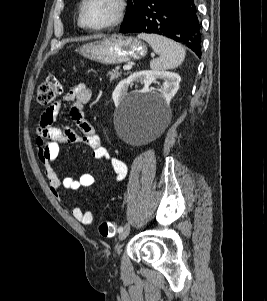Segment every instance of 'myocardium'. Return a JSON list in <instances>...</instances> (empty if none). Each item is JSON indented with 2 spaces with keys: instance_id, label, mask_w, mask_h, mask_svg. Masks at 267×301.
I'll return each mask as SVG.
<instances>
[{
  "instance_id": "1",
  "label": "myocardium",
  "mask_w": 267,
  "mask_h": 301,
  "mask_svg": "<svg viewBox=\"0 0 267 301\" xmlns=\"http://www.w3.org/2000/svg\"><path fill=\"white\" fill-rule=\"evenodd\" d=\"M88 0H82L80 7H79V23L80 25L88 30H93V31H100V30H106L110 29L118 24H120L126 14L127 10V2L126 0H114L115 5H116V12L113 16V18L103 24L100 25H89L85 21V7L87 4Z\"/></svg>"
}]
</instances>
